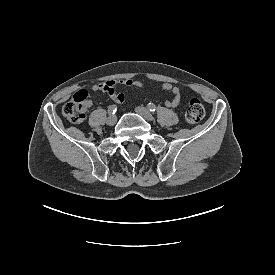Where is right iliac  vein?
Listing matches in <instances>:
<instances>
[{"instance_id": "1", "label": "right iliac vein", "mask_w": 275, "mask_h": 275, "mask_svg": "<svg viewBox=\"0 0 275 275\" xmlns=\"http://www.w3.org/2000/svg\"><path fill=\"white\" fill-rule=\"evenodd\" d=\"M116 122H117V117H116L115 115H110V116L108 117V119H107V124H108L109 126L115 125Z\"/></svg>"}]
</instances>
